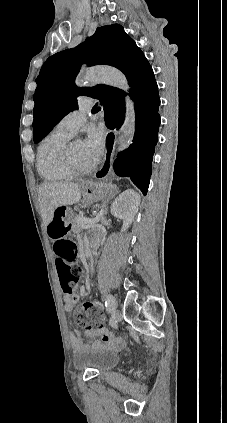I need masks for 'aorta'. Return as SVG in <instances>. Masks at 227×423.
<instances>
[{"label": "aorta", "mask_w": 227, "mask_h": 423, "mask_svg": "<svg viewBox=\"0 0 227 423\" xmlns=\"http://www.w3.org/2000/svg\"><path fill=\"white\" fill-rule=\"evenodd\" d=\"M104 82L108 85L127 89V79L122 72L112 67H94L88 69L83 75L76 79V84L82 86L86 83ZM126 115L124 123L119 132V140L117 143V150L122 151L127 148L132 142L135 133V114L133 109V102L130 99L126 100Z\"/></svg>", "instance_id": "1"}]
</instances>
